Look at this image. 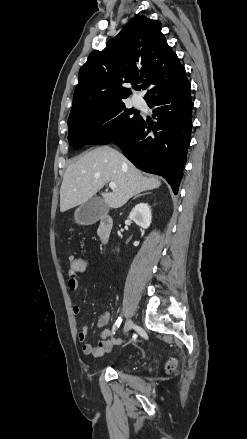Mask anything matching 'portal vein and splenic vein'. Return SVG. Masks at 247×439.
Masks as SVG:
<instances>
[{
    "instance_id": "portal-vein-and-splenic-vein-1",
    "label": "portal vein and splenic vein",
    "mask_w": 247,
    "mask_h": 439,
    "mask_svg": "<svg viewBox=\"0 0 247 439\" xmlns=\"http://www.w3.org/2000/svg\"><path fill=\"white\" fill-rule=\"evenodd\" d=\"M109 187H110L111 189H115V188H117V185H116V183H114V182H110V183H109Z\"/></svg>"
}]
</instances>
